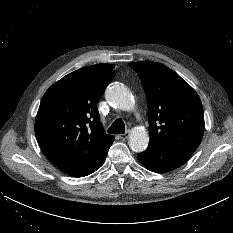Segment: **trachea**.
<instances>
[{"label": "trachea", "instance_id": "trachea-1", "mask_svg": "<svg viewBox=\"0 0 233 233\" xmlns=\"http://www.w3.org/2000/svg\"><path fill=\"white\" fill-rule=\"evenodd\" d=\"M108 133L110 134H124L125 133V124L121 119H117L108 129Z\"/></svg>", "mask_w": 233, "mask_h": 233}]
</instances>
